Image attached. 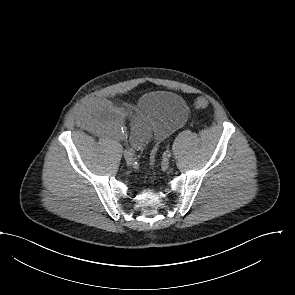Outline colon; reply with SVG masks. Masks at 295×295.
Wrapping results in <instances>:
<instances>
[{
  "label": "colon",
  "mask_w": 295,
  "mask_h": 295,
  "mask_svg": "<svg viewBox=\"0 0 295 295\" xmlns=\"http://www.w3.org/2000/svg\"><path fill=\"white\" fill-rule=\"evenodd\" d=\"M195 107L197 108H205L207 105H208V101L204 98H198L195 103H194ZM156 156H157V149L154 148L152 151H151V154H150V160L151 162H154L155 159H156Z\"/></svg>",
  "instance_id": "obj_1"
}]
</instances>
